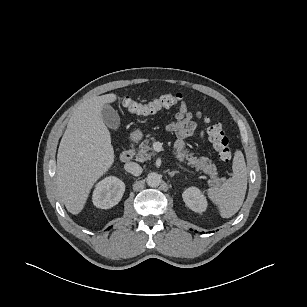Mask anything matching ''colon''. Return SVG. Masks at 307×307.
<instances>
[{
    "mask_svg": "<svg viewBox=\"0 0 307 307\" xmlns=\"http://www.w3.org/2000/svg\"><path fill=\"white\" fill-rule=\"evenodd\" d=\"M122 106L129 112L138 115H153L163 109L175 107L181 104L182 96L179 94L166 93L149 101H137L129 96L120 98ZM210 122V119H207ZM209 140L219 158L228 162L232 158V149L228 137L226 136L221 124L213 122L208 127Z\"/></svg>",
    "mask_w": 307,
    "mask_h": 307,
    "instance_id": "5ec220e1",
    "label": "colon"
}]
</instances>
